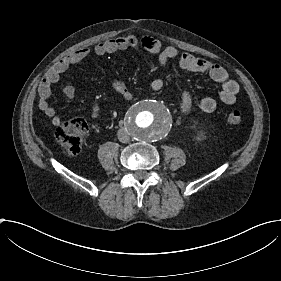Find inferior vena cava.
Wrapping results in <instances>:
<instances>
[{
  "label": "inferior vena cava",
  "mask_w": 281,
  "mask_h": 281,
  "mask_svg": "<svg viewBox=\"0 0 281 281\" xmlns=\"http://www.w3.org/2000/svg\"><path fill=\"white\" fill-rule=\"evenodd\" d=\"M117 136L120 142L128 143L130 142V136L124 128H120L117 132Z\"/></svg>",
  "instance_id": "602c4592"
}]
</instances>
